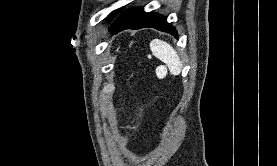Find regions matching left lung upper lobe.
Instances as JSON below:
<instances>
[{"instance_id":"1","label":"left lung upper lobe","mask_w":277,"mask_h":166,"mask_svg":"<svg viewBox=\"0 0 277 166\" xmlns=\"http://www.w3.org/2000/svg\"><path fill=\"white\" fill-rule=\"evenodd\" d=\"M119 11H120V9L115 10L112 13H110L109 16L107 17V20L113 19L119 13Z\"/></svg>"}]
</instances>
